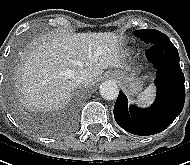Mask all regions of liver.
<instances>
[{"label": "liver", "instance_id": "obj_1", "mask_svg": "<svg viewBox=\"0 0 190 165\" xmlns=\"http://www.w3.org/2000/svg\"><path fill=\"white\" fill-rule=\"evenodd\" d=\"M119 42L114 32L51 33L34 42L17 69L23 104L57 110L71 98L76 71H88L93 82L106 68L126 67Z\"/></svg>", "mask_w": 190, "mask_h": 165}]
</instances>
